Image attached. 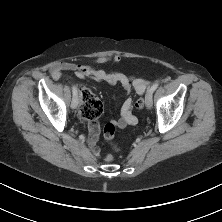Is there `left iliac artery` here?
<instances>
[{
  "label": "left iliac artery",
  "instance_id": "obj_1",
  "mask_svg": "<svg viewBox=\"0 0 222 222\" xmlns=\"http://www.w3.org/2000/svg\"><path fill=\"white\" fill-rule=\"evenodd\" d=\"M159 86V82H155L152 86H151V91L154 92Z\"/></svg>",
  "mask_w": 222,
  "mask_h": 222
}]
</instances>
